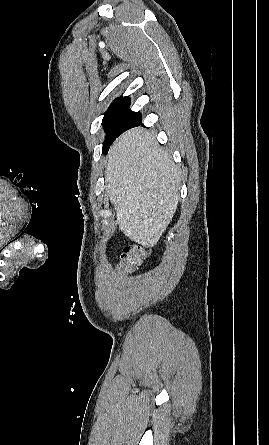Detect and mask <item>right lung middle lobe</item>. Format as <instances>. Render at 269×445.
<instances>
[{
	"mask_svg": "<svg viewBox=\"0 0 269 445\" xmlns=\"http://www.w3.org/2000/svg\"><path fill=\"white\" fill-rule=\"evenodd\" d=\"M130 97H120L115 99L109 109L104 114L102 121L106 138L103 142L102 152H107L109 146L124 131L132 128L142 120L139 112L129 110Z\"/></svg>",
	"mask_w": 269,
	"mask_h": 445,
	"instance_id": "dd1d6c3e",
	"label": "right lung middle lobe"
}]
</instances>
